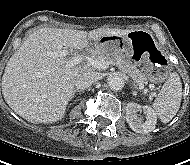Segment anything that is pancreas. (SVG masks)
Returning a JSON list of instances; mask_svg holds the SVG:
<instances>
[{
    "mask_svg": "<svg viewBox=\"0 0 190 165\" xmlns=\"http://www.w3.org/2000/svg\"><path fill=\"white\" fill-rule=\"evenodd\" d=\"M92 57L99 61L103 60L109 62L112 65H117L122 72L128 74L139 86L147 83L146 76L134 65L124 61L123 57L121 56H105L101 53L94 52L92 53Z\"/></svg>",
    "mask_w": 190,
    "mask_h": 165,
    "instance_id": "cf45deb5",
    "label": "pancreas"
}]
</instances>
